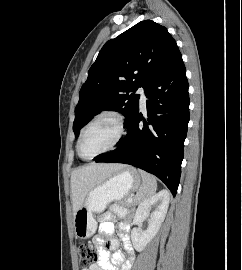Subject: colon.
Returning <instances> with one entry per match:
<instances>
[{
  "label": "colon",
  "instance_id": "1",
  "mask_svg": "<svg viewBox=\"0 0 242 270\" xmlns=\"http://www.w3.org/2000/svg\"><path fill=\"white\" fill-rule=\"evenodd\" d=\"M79 264L82 268L89 267L98 259V252L88 244H82L78 247Z\"/></svg>",
  "mask_w": 242,
  "mask_h": 270
}]
</instances>
